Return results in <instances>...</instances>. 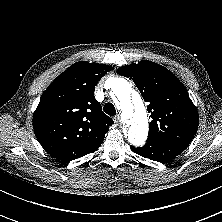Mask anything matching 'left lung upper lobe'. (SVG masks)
<instances>
[{"label":"left lung upper lobe","mask_w":222,"mask_h":222,"mask_svg":"<svg viewBox=\"0 0 222 222\" xmlns=\"http://www.w3.org/2000/svg\"><path fill=\"white\" fill-rule=\"evenodd\" d=\"M140 90L152 118L147 140H176L190 143L198 129V112L186 88L165 67L140 61L118 68Z\"/></svg>","instance_id":"obj_1"}]
</instances>
